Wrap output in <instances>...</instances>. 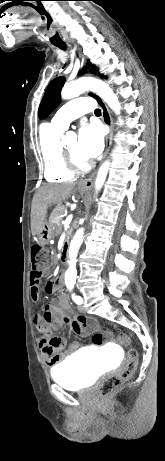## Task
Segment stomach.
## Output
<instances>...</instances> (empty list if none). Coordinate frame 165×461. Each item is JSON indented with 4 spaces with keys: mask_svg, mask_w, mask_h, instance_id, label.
I'll use <instances>...</instances> for the list:
<instances>
[{
    "mask_svg": "<svg viewBox=\"0 0 165 461\" xmlns=\"http://www.w3.org/2000/svg\"><path fill=\"white\" fill-rule=\"evenodd\" d=\"M54 236V229L51 227L48 221H44L40 232L37 234L39 242L43 245L48 244V242Z\"/></svg>",
    "mask_w": 165,
    "mask_h": 461,
    "instance_id": "1",
    "label": "stomach"
}]
</instances>
